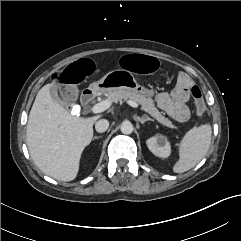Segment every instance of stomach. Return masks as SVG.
<instances>
[{
	"label": "stomach",
	"mask_w": 241,
	"mask_h": 241,
	"mask_svg": "<svg viewBox=\"0 0 241 241\" xmlns=\"http://www.w3.org/2000/svg\"><path fill=\"white\" fill-rule=\"evenodd\" d=\"M89 88L94 93H109L117 89H127L149 97L153 96L155 93L139 85L131 71H124L121 69L108 72L99 81L90 84Z\"/></svg>",
	"instance_id": "1"
}]
</instances>
